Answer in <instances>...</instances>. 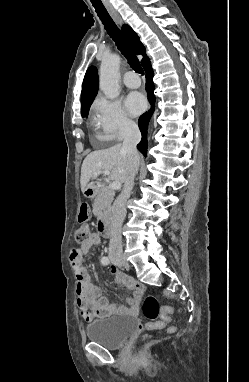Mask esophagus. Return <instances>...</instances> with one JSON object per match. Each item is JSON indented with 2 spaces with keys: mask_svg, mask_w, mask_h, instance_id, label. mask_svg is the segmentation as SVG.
Masks as SVG:
<instances>
[{
  "mask_svg": "<svg viewBox=\"0 0 249 382\" xmlns=\"http://www.w3.org/2000/svg\"><path fill=\"white\" fill-rule=\"evenodd\" d=\"M105 7L107 8L110 15L113 17V19L119 24L122 25V19L119 15V13L114 9V7L110 3H105Z\"/></svg>",
  "mask_w": 249,
  "mask_h": 382,
  "instance_id": "esophagus-1",
  "label": "esophagus"
}]
</instances>
